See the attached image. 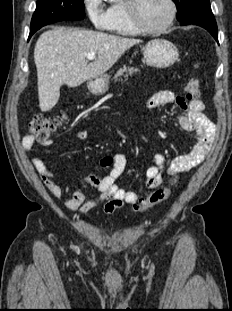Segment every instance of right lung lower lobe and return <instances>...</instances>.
<instances>
[{"label": "right lung lower lobe", "mask_w": 232, "mask_h": 311, "mask_svg": "<svg viewBox=\"0 0 232 311\" xmlns=\"http://www.w3.org/2000/svg\"><path fill=\"white\" fill-rule=\"evenodd\" d=\"M38 29L30 30L29 39L30 37L37 31Z\"/></svg>", "instance_id": "right-lung-lower-lobe-1"}]
</instances>
